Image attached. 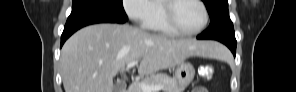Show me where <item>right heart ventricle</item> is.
Returning a JSON list of instances; mask_svg holds the SVG:
<instances>
[{
    "label": "right heart ventricle",
    "mask_w": 296,
    "mask_h": 92,
    "mask_svg": "<svg viewBox=\"0 0 296 92\" xmlns=\"http://www.w3.org/2000/svg\"><path fill=\"white\" fill-rule=\"evenodd\" d=\"M154 6L155 16L145 27L154 32L175 35L176 33L167 26L164 19V1H154Z\"/></svg>",
    "instance_id": "obj_1"
}]
</instances>
